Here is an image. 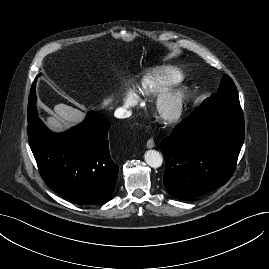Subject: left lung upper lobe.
I'll return each instance as SVG.
<instances>
[{
    "label": "left lung upper lobe",
    "mask_w": 269,
    "mask_h": 269,
    "mask_svg": "<svg viewBox=\"0 0 269 269\" xmlns=\"http://www.w3.org/2000/svg\"><path fill=\"white\" fill-rule=\"evenodd\" d=\"M209 105L218 103H240L236 86L228 75H224L216 94L207 98Z\"/></svg>",
    "instance_id": "left-lung-upper-lobe-1"
}]
</instances>
